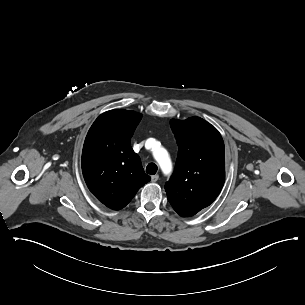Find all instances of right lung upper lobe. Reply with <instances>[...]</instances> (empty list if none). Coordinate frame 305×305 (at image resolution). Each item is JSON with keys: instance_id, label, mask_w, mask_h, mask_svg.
<instances>
[{"instance_id": "cb5924a9", "label": "right lung upper lobe", "mask_w": 305, "mask_h": 305, "mask_svg": "<svg viewBox=\"0 0 305 305\" xmlns=\"http://www.w3.org/2000/svg\"><path fill=\"white\" fill-rule=\"evenodd\" d=\"M142 115L128 110L101 114L86 136L82 172L93 195L107 207H125L150 176L131 148V137Z\"/></svg>"}]
</instances>
